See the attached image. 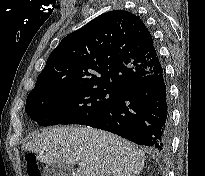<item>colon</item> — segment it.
<instances>
[{
    "label": "colon",
    "instance_id": "colon-1",
    "mask_svg": "<svg viewBox=\"0 0 205 176\" xmlns=\"http://www.w3.org/2000/svg\"><path fill=\"white\" fill-rule=\"evenodd\" d=\"M25 161L28 176H41L39 166L36 162V157L34 154H26Z\"/></svg>",
    "mask_w": 205,
    "mask_h": 176
}]
</instances>
